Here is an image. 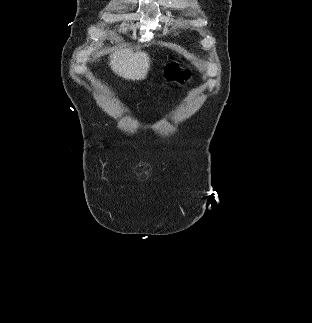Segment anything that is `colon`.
Segmentation results:
<instances>
[{
  "mask_svg": "<svg viewBox=\"0 0 312 323\" xmlns=\"http://www.w3.org/2000/svg\"><path fill=\"white\" fill-rule=\"evenodd\" d=\"M190 77L188 71L180 70L178 64H171L166 71V78L170 81L177 80L182 82Z\"/></svg>",
  "mask_w": 312,
  "mask_h": 323,
  "instance_id": "obj_1",
  "label": "colon"
}]
</instances>
